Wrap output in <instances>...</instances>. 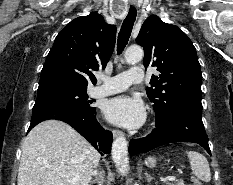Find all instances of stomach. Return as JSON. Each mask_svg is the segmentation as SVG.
<instances>
[{"instance_id": "stomach-1", "label": "stomach", "mask_w": 233, "mask_h": 185, "mask_svg": "<svg viewBox=\"0 0 233 185\" xmlns=\"http://www.w3.org/2000/svg\"><path fill=\"white\" fill-rule=\"evenodd\" d=\"M155 163H156V159L154 157H148L146 160H145V164L148 166V167H154L155 166Z\"/></svg>"}]
</instances>
